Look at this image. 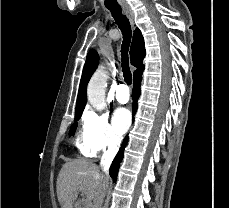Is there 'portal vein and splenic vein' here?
I'll return each mask as SVG.
<instances>
[{
    "label": "portal vein and splenic vein",
    "instance_id": "1",
    "mask_svg": "<svg viewBox=\"0 0 229 208\" xmlns=\"http://www.w3.org/2000/svg\"><path fill=\"white\" fill-rule=\"evenodd\" d=\"M86 206L85 208H90L91 204H89V202H85Z\"/></svg>",
    "mask_w": 229,
    "mask_h": 208
}]
</instances>
